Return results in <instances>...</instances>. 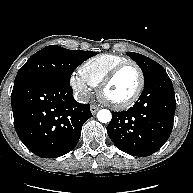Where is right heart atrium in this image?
I'll return each instance as SVG.
<instances>
[{"mask_svg":"<svg viewBox=\"0 0 193 193\" xmlns=\"http://www.w3.org/2000/svg\"><path fill=\"white\" fill-rule=\"evenodd\" d=\"M69 81L71 87L82 100H87L90 97L92 93L90 85L83 79L80 74L72 73Z\"/></svg>","mask_w":193,"mask_h":193,"instance_id":"d8ad5b80","label":"right heart atrium"}]
</instances>
